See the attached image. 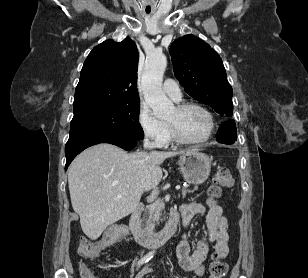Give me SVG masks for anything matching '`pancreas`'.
Masks as SVG:
<instances>
[{
  "mask_svg": "<svg viewBox=\"0 0 308 278\" xmlns=\"http://www.w3.org/2000/svg\"><path fill=\"white\" fill-rule=\"evenodd\" d=\"M193 191L188 189H182V195H186V193H191ZM164 209V204L160 201H156L151 205L147 206L144 211L142 218V226L146 231L151 232L155 229L156 224H159L160 221L163 220L162 212Z\"/></svg>",
  "mask_w": 308,
  "mask_h": 278,
  "instance_id": "cf45deb5",
  "label": "pancreas"
}]
</instances>
